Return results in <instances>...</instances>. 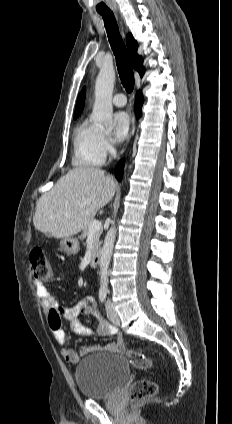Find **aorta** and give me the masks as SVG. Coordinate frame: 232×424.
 Here are the masks:
<instances>
[{"mask_svg":"<svg viewBox=\"0 0 232 424\" xmlns=\"http://www.w3.org/2000/svg\"><path fill=\"white\" fill-rule=\"evenodd\" d=\"M115 82V70L112 65H104L97 76L95 84V102L91 115V120L108 129L113 127V106L112 94ZM116 236V228L113 225L107 232L104 244L100 252L99 276L100 289L102 293H106L108 289V269L111 261L112 251Z\"/></svg>","mask_w":232,"mask_h":424,"instance_id":"aorta-1","label":"aorta"}]
</instances>
